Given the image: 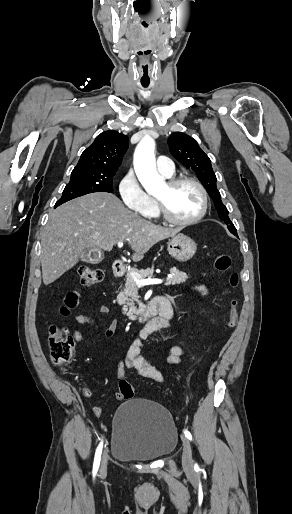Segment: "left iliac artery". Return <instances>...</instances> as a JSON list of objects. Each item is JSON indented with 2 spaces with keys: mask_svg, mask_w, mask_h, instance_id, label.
Masks as SVG:
<instances>
[{
  "mask_svg": "<svg viewBox=\"0 0 292 514\" xmlns=\"http://www.w3.org/2000/svg\"><path fill=\"white\" fill-rule=\"evenodd\" d=\"M184 434L189 440H192V435L188 430H184ZM194 468L199 469L197 464H195Z\"/></svg>",
  "mask_w": 292,
  "mask_h": 514,
  "instance_id": "left-iliac-artery-1",
  "label": "left iliac artery"
}]
</instances>
